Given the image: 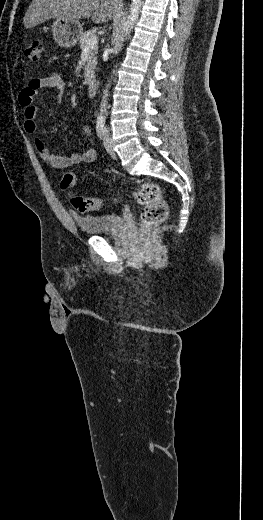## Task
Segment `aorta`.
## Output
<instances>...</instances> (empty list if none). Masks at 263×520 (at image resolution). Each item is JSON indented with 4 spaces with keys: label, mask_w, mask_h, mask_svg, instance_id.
I'll use <instances>...</instances> for the list:
<instances>
[{
    "label": "aorta",
    "mask_w": 263,
    "mask_h": 520,
    "mask_svg": "<svg viewBox=\"0 0 263 520\" xmlns=\"http://www.w3.org/2000/svg\"><path fill=\"white\" fill-rule=\"evenodd\" d=\"M142 0H132L130 6V13L128 15V19L126 23L123 25L124 36L127 38L130 37L131 31L134 28V25L139 17L141 10ZM109 88L110 83L106 85V88L103 91V96L100 103V112L98 118L101 120L105 119V115L107 113V105H108V96H109Z\"/></svg>",
    "instance_id": "aorta-1"
}]
</instances>
